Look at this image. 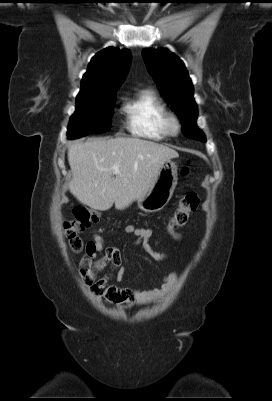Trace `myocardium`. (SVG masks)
Returning <instances> with one entry per match:
<instances>
[{"mask_svg":"<svg viewBox=\"0 0 272 401\" xmlns=\"http://www.w3.org/2000/svg\"><path fill=\"white\" fill-rule=\"evenodd\" d=\"M166 128L170 135H177L181 130L179 116L174 113H168L166 116Z\"/></svg>","mask_w":272,"mask_h":401,"instance_id":"f54148a6","label":"myocardium"}]
</instances>
